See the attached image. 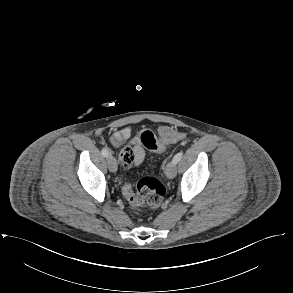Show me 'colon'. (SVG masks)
<instances>
[{
  "label": "colon",
  "mask_w": 293,
  "mask_h": 293,
  "mask_svg": "<svg viewBox=\"0 0 293 293\" xmlns=\"http://www.w3.org/2000/svg\"><path fill=\"white\" fill-rule=\"evenodd\" d=\"M140 141L152 153L165 151L164 144L150 130H145L141 133ZM122 191L129 204L133 207H139L144 203L151 207H158L163 202L166 193L165 186L157 178L151 176L142 177L138 181L136 193L133 192L130 183H125Z\"/></svg>",
  "instance_id": "obj_1"
}]
</instances>
